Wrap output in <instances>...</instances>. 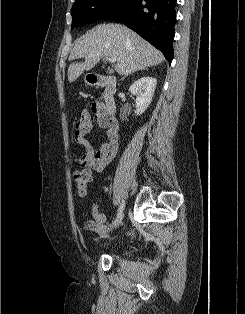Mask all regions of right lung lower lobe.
<instances>
[{
    "mask_svg": "<svg viewBox=\"0 0 245 314\" xmlns=\"http://www.w3.org/2000/svg\"><path fill=\"white\" fill-rule=\"evenodd\" d=\"M146 3H145V2ZM177 0H130L107 20L124 23L158 48L169 62L173 59Z\"/></svg>",
    "mask_w": 245,
    "mask_h": 314,
    "instance_id": "98d812e1",
    "label": "right lung lower lobe"
}]
</instances>
